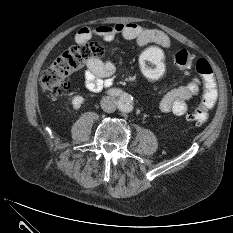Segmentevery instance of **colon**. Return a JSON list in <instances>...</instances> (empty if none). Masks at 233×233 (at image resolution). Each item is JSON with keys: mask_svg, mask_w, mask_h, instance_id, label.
<instances>
[{"mask_svg": "<svg viewBox=\"0 0 233 233\" xmlns=\"http://www.w3.org/2000/svg\"><path fill=\"white\" fill-rule=\"evenodd\" d=\"M103 52L104 49L98 42L80 43L60 52L41 72L42 90L55 97L66 94L70 88L71 75L81 69L89 58L99 57ZM171 60L177 68L186 70L192 64V55L186 50H177L172 54ZM140 67L146 78H161L165 71L163 50L157 45H148L140 56ZM195 70L202 77L205 90L200 106L188 115V120L193 125L200 126L209 118V110L217 99V90L212 67L206 59H197Z\"/></svg>", "mask_w": 233, "mask_h": 233, "instance_id": "1", "label": "colon"}]
</instances>
